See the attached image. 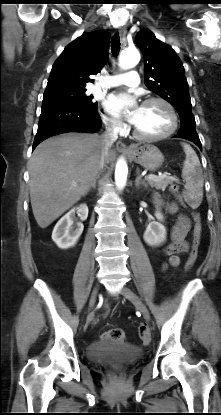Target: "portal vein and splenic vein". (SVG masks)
Segmentation results:
<instances>
[{"label":"portal vein and splenic vein","mask_w":221,"mask_h":415,"mask_svg":"<svg viewBox=\"0 0 221 415\" xmlns=\"http://www.w3.org/2000/svg\"><path fill=\"white\" fill-rule=\"evenodd\" d=\"M167 175H168L167 172L159 174V175L150 174V175L145 176V179L146 180H156L160 177H167ZM172 179L177 181V182L179 181V179L177 177H172ZM74 186H76V184H74Z\"/></svg>","instance_id":"18ae733b"}]
</instances>
